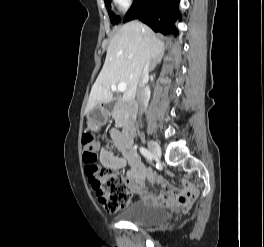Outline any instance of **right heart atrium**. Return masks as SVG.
I'll use <instances>...</instances> for the list:
<instances>
[{
	"instance_id": "d8ad5b80",
	"label": "right heart atrium",
	"mask_w": 264,
	"mask_h": 247,
	"mask_svg": "<svg viewBox=\"0 0 264 247\" xmlns=\"http://www.w3.org/2000/svg\"><path fill=\"white\" fill-rule=\"evenodd\" d=\"M114 1L122 10L127 9L133 3V0H114Z\"/></svg>"
}]
</instances>
